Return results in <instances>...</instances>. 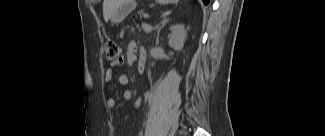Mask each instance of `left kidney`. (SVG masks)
I'll return each mask as SVG.
<instances>
[{"mask_svg":"<svg viewBox=\"0 0 325 136\" xmlns=\"http://www.w3.org/2000/svg\"><path fill=\"white\" fill-rule=\"evenodd\" d=\"M186 37L187 30H185L184 25L176 24L171 27L169 45L176 50H181L184 46Z\"/></svg>","mask_w":325,"mask_h":136,"instance_id":"left-kidney-1","label":"left kidney"}]
</instances>
